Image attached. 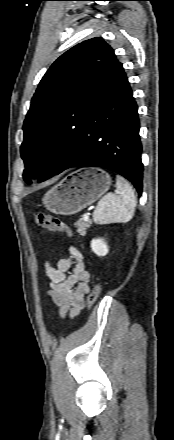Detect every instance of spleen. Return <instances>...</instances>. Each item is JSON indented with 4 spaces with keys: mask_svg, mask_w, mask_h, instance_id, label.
<instances>
[{
    "mask_svg": "<svg viewBox=\"0 0 174 440\" xmlns=\"http://www.w3.org/2000/svg\"><path fill=\"white\" fill-rule=\"evenodd\" d=\"M117 194L108 193L93 212L97 224L127 223L133 217L136 197L129 182L121 176L116 178Z\"/></svg>",
    "mask_w": 174,
    "mask_h": 440,
    "instance_id": "3e777b00",
    "label": "spleen"
}]
</instances>
